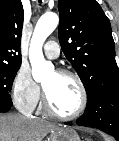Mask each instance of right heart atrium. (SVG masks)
I'll return each mask as SVG.
<instances>
[{
  "label": "right heart atrium",
  "instance_id": "d8ad5b80",
  "mask_svg": "<svg viewBox=\"0 0 119 141\" xmlns=\"http://www.w3.org/2000/svg\"><path fill=\"white\" fill-rule=\"evenodd\" d=\"M12 100L23 113H31L40 100V88L29 70L21 67L16 73L11 88Z\"/></svg>",
  "mask_w": 119,
  "mask_h": 141
}]
</instances>
